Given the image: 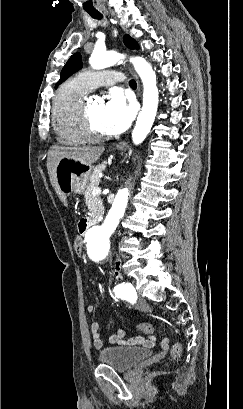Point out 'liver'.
I'll return each instance as SVG.
<instances>
[{
	"mask_svg": "<svg viewBox=\"0 0 243 409\" xmlns=\"http://www.w3.org/2000/svg\"><path fill=\"white\" fill-rule=\"evenodd\" d=\"M104 152L102 146H84V147H61L52 146L48 151L47 170L50 177L51 184L58 194L60 200L64 205H67L65 194H63L57 186L55 167L62 157L73 158L82 163L92 165L95 163Z\"/></svg>",
	"mask_w": 243,
	"mask_h": 409,
	"instance_id": "6515ba94",
	"label": "liver"
}]
</instances>
